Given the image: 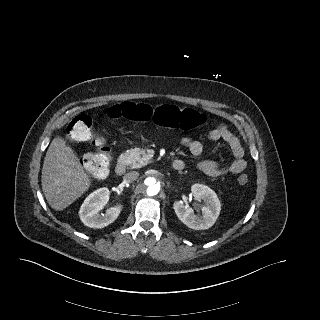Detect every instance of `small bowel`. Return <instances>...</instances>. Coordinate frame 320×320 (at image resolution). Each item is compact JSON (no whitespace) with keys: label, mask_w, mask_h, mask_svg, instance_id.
<instances>
[{"label":"small bowel","mask_w":320,"mask_h":320,"mask_svg":"<svg viewBox=\"0 0 320 320\" xmlns=\"http://www.w3.org/2000/svg\"><path fill=\"white\" fill-rule=\"evenodd\" d=\"M210 141L223 140L230 148L234 160L228 165L222 166L214 160H204L198 164V169L211 177H221L226 174H239L245 170L247 162L244 159V148L239 138L234 135L225 125L219 124L208 134ZM191 154L199 156L203 152L204 146L201 141L190 137H183L181 140Z\"/></svg>","instance_id":"small-bowel-1"}]
</instances>
